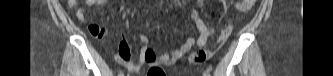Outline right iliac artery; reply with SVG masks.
I'll list each match as a JSON object with an SVG mask.
<instances>
[{
    "instance_id": "82829eb1",
    "label": "right iliac artery",
    "mask_w": 333,
    "mask_h": 76,
    "mask_svg": "<svg viewBox=\"0 0 333 76\" xmlns=\"http://www.w3.org/2000/svg\"><path fill=\"white\" fill-rule=\"evenodd\" d=\"M123 75H124L123 72H120V73H119V76H123Z\"/></svg>"
}]
</instances>
